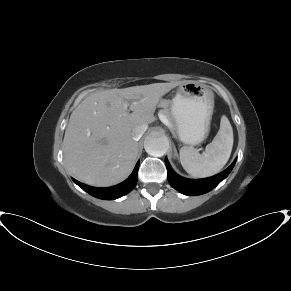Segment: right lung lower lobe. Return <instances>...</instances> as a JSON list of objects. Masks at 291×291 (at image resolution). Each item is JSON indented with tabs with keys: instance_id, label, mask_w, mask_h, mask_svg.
<instances>
[{
	"instance_id": "obj_1",
	"label": "right lung lower lobe",
	"mask_w": 291,
	"mask_h": 291,
	"mask_svg": "<svg viewBox=\"0 0 291 291\" xmlns=\"http://www.w3.org/2000/svg\"><path fill=\"white\" fill-rule=\"evenodd\" d=\"M139 161L137 162L132 174L122 183L108 187L96 188L85 185L73 179V181L90 195L104 200H114L129 193L136 185L138 179Z\"/></svg>"
}]
</instances>
